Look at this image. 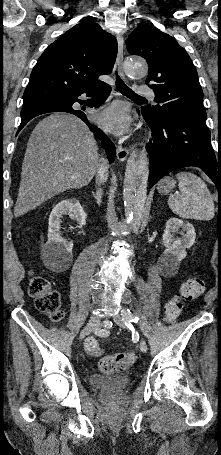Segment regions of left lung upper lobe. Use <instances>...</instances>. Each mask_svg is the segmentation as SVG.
<instances>
[{
	"instance_id": "obj_1",
	"label": "left lung upper lobe",
	"mask_w": 221,
	"mask_h": 455,
	"mask_svg": "<svg viewBox=\"0 0 221 455\" xmlns=\"http://www.w3.org/2000/svg\"><path fill=\"white\" fill-rule=\"evenodd\" d=\"M128 52L146 59L156 106L141 111L155 118L184 117L205 122L203 91L187 52L170 35L150 25H139L126 41Z\"/></svg>"
}]
</instances>
